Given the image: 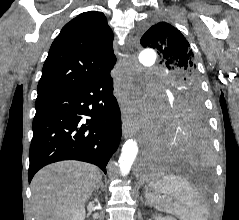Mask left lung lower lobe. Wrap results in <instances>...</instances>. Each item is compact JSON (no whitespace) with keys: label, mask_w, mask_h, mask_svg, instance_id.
<instances>
[{"label":"left lung lower lobe","mask_w":239,"mask_h":220,"mask_svg":"<svg viewBox=\"0 0 239 220\" xmlns=\"http://www.w3.org/2000/svg\"><path fill=\"white\" fill-rule=\"evenodd\" d=\"M158 141L145 154L141 169L155 173L173 165L196 163L210 155L211 144L204 112L165 108L160 118Z\"/></svg>","instance_id":"0a47b994"}]
</instances>
